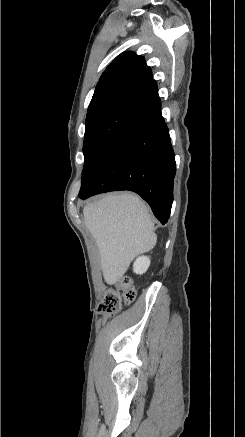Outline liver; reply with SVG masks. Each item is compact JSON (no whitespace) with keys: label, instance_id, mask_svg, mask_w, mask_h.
<instances>
[{"label":"liver","instance_id":"liver-1","mask_svg":"<svg viewBox=\"0 0 245 437\" xmlns=\"http://www.w3.org/2000/svg\"><path fill=\"white\" fill-rule=\"evenodd\" d=\"M84 222L94 237L107 284L117 283L130 263L157 242L149 209L136 195H106L83 209Z\"/></svg>","mask_w":245,"mask_h":437}]
</instances>
